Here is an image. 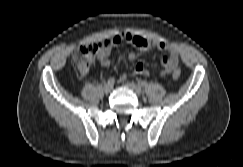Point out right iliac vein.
<instances>
[{"label": "right iliac vein", "mask_w": 243, "mask_h": 167, "mask_svg": "<svg viewBox=\"0 0 243 167\" xmlns=\"http://www.w3.org/2000/svg\"><path fill=\"white\" fill-rule=\"evenodd\" d=\"M112 88H113V85L108 84V83L104 84V86H103V90L105 93L111 92Z\"/></svg>", "instance_id": "right-iliac-vein-1"}]
</instances>
